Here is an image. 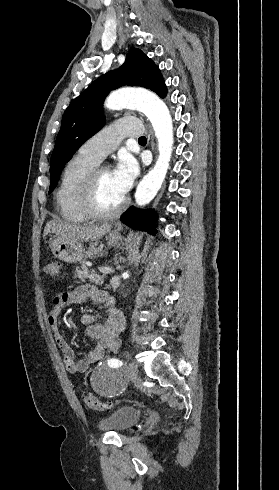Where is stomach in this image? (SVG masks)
I'll list each match as a JSON object with an SVG mask.
<instances>
[{
	"label": "stomach",
	"mask_w": 279,
	"mask_h": 490,
	"mask_svg": "<svg viewBox=\"0 0 279 490\" xmlns=\"http://www.w3.org/2000/svg\"><path fill=\"white\" fill-rule=\"evenodd\" d=\"M115 230H109L107 232L108 236H106L107 246L108 248H115V246H120L121 244V236L119 232H117L116 226H122V224H114ZM50 250L58 260H62V262H67V264H77V262H84L86 258H95V256H99L101 252H103L102 248H95V246H91L88 252L84 250L83 244L80 242H72V240H65V238H59V236H55L53 240L49 242Z\"/></svg>",
	"instance_id": "0dacf381"
}]
</instances>
